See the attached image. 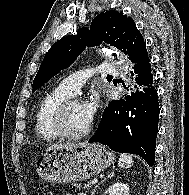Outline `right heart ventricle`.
I'll list each match as a JSON object with an SVG mask.
<instances>
[{
    "label": "right heart ventricle",
    "mask_w": 189,
    "mask_h": 195,
    "mask_svg": "<svg viewBox=\"0 0 189 195\" xmlns=\"http://www.w3.org/2000/svg\"><path fill=\"white\" fill-rule=\"evenodd\" d=\"M72 96L59 85L44 97L35 115V131L41 140L54 141L60 138L53 126V116L59 105Z\"/></svg>",
    "instance_id": "e07e8e85"
}]
</instances>
